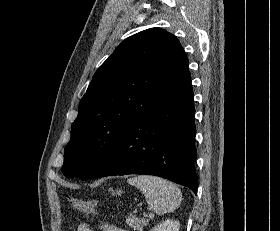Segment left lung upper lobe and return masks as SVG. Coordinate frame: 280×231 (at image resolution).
Returning <instances> with one entry per match:
<instances>
[{
    "label": "left lung upper lobe",
    "mask_w": 280,
    "mask_h": 231,
    "mask_svg": "<svg viewBox=\"0 0 280 231\" xmlns=\"http://www.w3.org/2000/svg\"><path fill=\"white\" fill-rule=\"evenodd\" d=\"M189 76L188 58L171 33L151 28L124 40L79 103L63 174L90 178L120 136Z\"/></svg>",
    "instance_id": "obj_1"
}]
</instances>
